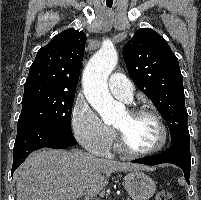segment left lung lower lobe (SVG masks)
Segmentation results:
<instances>
[{
  "mask_svg": "<svg viewBox=\"0 0 201 200\" xmlns=\"http://www.w3.org/2000/svg\"><path fill=\"white\" fill-rule=\"evenodd\" d=\"M133 162L146 165H157L162 163L175 164L183 170L185 179L189 184L191 170L190 138L180 139L172 143L171 147L160 155L137 159Z\"/></svg>",
  "mask_w": 201,
  "mask_h": 200,
  "instance_id": "left-lung-lower-lobe-1",
  "label": "left lung lower lobe"
}]
</instances>
